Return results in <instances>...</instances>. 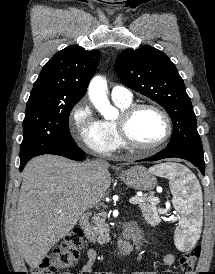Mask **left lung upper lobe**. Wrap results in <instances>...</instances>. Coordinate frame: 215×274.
<instances>
[{
  "label": "left lung upper lobe",
  "mask_w": 215,
  "mask_h": 274,
  "mask_svg": "<svg viewBox=\"0 0 215 274\" xmlns=\"http://www.w3.org/2000/svg\"><path fill=\"white\" fill-rule=\"evenodd\" d=\"M121 81L160 104L170 115L174 132L168 147L203 151L196 116L174 63L151 46L120 53L115 64Z\"/></svg>",
  "instance_id": "1"
}]
</instances>
